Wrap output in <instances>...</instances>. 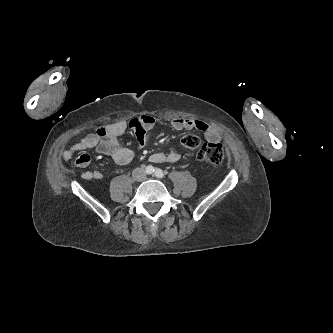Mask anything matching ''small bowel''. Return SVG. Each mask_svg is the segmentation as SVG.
<instances>
[{"instance_id":"obj_1","label":"small bowel","mask_w":333,"mask_h":333,"mask_svg":"<svg viewBox=\"0 0 333 333\" xmlns=\"http://www.w3.org/2000/svg\"><path fill=\"white\" fill-rule=\"evenodd\" d=\"M154 125L155 118L153 116L142 115L100 127L95 133L85 135L66 149L62 153V159L68 161L72 159L76 153L85 152L94 148L97 153L110 156L117 164L126 165L133 160L134 152L130 148L120 146L118 144V136L122 135L126 130H131L135 132L138 144L144 145L148 142V132L152 130ZM171 126L175 130H199L204 134L206 140L211 143H217L221 139L219 130L202 120L177 117L171 120ZM180 158L181 156L177 151L171 150L166 154L155 153L151 156L150 160L155 163H175L178 162ZM90 161V154L83 153L76 157L75 165L79 168H85ZM82 177L84 180H100L102 173L99 171H85Z\"/></svg>"}]
</instances>
